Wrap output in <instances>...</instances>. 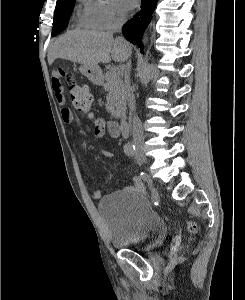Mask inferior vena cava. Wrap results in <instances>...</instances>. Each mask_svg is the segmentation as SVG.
<instances>
[{"label":"inferior vena cava","mask_w":245,"mask_h":300,"mask_svg":"<svg viewBox=\"0 0 245 300\" xmlns=\"http://www.w3.org/2000/svg\"><path fill=\"white\" fill-rule=\"evenodd\" d=\"M125 21L124 16L119 17L114 24L113 30L115 32H120L122 25ZM130 63L126 64L124 75H125V93L128 99V106L132 115V134H133V143L136 147V151H140L143 145V131L141 127V122L135 113L136 106H135V97L133 94V88L131 87L130 83Z\"/></svg>","instance_id":"1"}]
</instances>
